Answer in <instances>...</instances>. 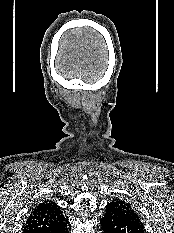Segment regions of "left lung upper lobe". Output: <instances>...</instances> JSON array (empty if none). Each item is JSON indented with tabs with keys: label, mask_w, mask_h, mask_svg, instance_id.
I'll return each mask as SVG.
<instances>
[{
	"label": "left lung upper lobe",
	"mask_w": 174,
	"mask_h": 233,
	"mask_svg": "<svg viewBox=\"0 0 174 233\" xmlns=\"http://www.w3.org/2000/svg\"><path fill=\"white\" fill-rule=\"evenodd\" d=\"M106 211L116 216L128 218L142 223L139 219L138 213L129 203H126L125 201L119 199L112 201L106 206Z\"/></svg>",
	"instance_id": "5c2ea615"
}]
</instances>
